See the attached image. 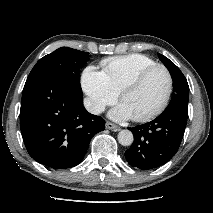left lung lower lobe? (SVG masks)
Returning <instances> with one entry per match:
<instances>
[{"label": "left lung lower lobe", "mask_w": 213, "mask_h": 213, "mask_svg": "<svg viewBox=\"0 0 213 213\" xmlns=\"http://www.w3.org/2000/svg\"><path fill=\"white\" fill-rule=\"evenodd\" d=\"M187 116V108L167 107L151 122L129 128L134 135V143L125 152L128 163L132 167L149 170L169 161L179 149Z\"/></svg>", "instance_id": "0a47b994"}]
</instances>
